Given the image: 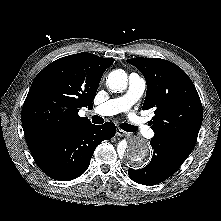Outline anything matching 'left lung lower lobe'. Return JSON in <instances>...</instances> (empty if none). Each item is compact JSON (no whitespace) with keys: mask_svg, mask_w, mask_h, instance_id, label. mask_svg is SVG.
<instances>
[{"mask_svg":"<svg viewBox=\"0 0 221 221\" xmlns=\"http://www.w3.org/2000/svg\"><path fill=\"white\" fill-rule=\"evenodd\" d=\"M153 156L150 163L139 170L129 168L128 174L136 183L155 185L172 176L191 152L168 141L152 138Z\"/></svg>","mask_w":221,"mask_h":221,"instance_id":"0a47b994","label":"left lung lower lobe"}]
</instances>
